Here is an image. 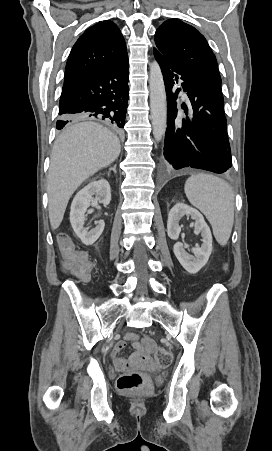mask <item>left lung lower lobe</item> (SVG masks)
I'll use <instances>...</instances> for the list:
<instances>
[{
    "instance_id": "0a47b994",
    "label": "left lung lower lobe",
    "mask_w": 272,
    "mask_h": 451,
    "mask_svg": "<svg viewBox=\"0 0 272 451\" xmlns=\"http://www.w3.org/2000/svg\"><path fill=\"white\" fill-rule=\"evenodd\" d=\"M167 95V129L164 156L168 169L191 167L224 173L232 166L223 100L154 47ZM193 108V116L177 119L176 99L181 88Z\"/></svg>"
}]
</instances>
